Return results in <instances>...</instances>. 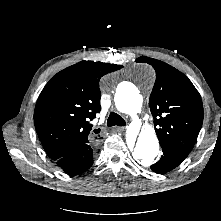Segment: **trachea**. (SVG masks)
<instances>
[{"instance_id":"trachea-1","label":"trachea","mask_w":221,"mask_h":221,"mask_svg":"<svg viewBox=\"0 0 221 221\" xmlns=\"http://www.w3.org/2000/svg\"><path fill=\"white\" fill-rule=\"evenodd\" d=\"M125 124V120L120 115L115 112L110 113L107 120V126H125Z\"/></svg>"}]
</instances>
